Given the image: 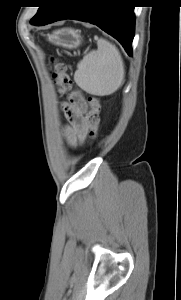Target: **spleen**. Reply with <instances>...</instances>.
Listing matches in <instances>:
<instances>
[{"label":"spleen","mask_w":181,"mask_h":300,"mask_svg":"<svg viewBox=\"0 0 181 300\" xmlns=\"http://www.w3.org/2000/svg\"><path fill=\"white\" fill-rule=\"evenodd\" d=\"M97 47L77 64L74 80L87 93L106 96L123 84L124 63L117 47L108 40L100 38Z\"/></svg>","instance_id":"3e777b00"}]
</instances>
